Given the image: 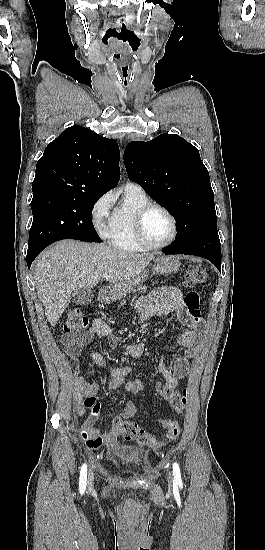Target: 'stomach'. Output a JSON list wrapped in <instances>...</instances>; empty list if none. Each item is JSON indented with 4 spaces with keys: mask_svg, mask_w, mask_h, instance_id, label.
<instances>
[{
    "mask_svg": "<svg viewBox=\"0 0 265 550\" xmlns=\"http://www.w3.org/2000/svg\"><path fill=\"white\" fill-rule=\"evenodd\" d=\"M180 265L181 263L176 257L159 255L153 261L152 270L157 274H171L178 271ZM147 276L148 271L144 270L138 277L129 283L128 288H124V293L139 286L140 283L147 278Z\"/></svg>",
    "mask_w": 265,
    "mask_h": 550,
    "instance_id": "0dacf381",
    "label": "stomach"
}]
</instances>
